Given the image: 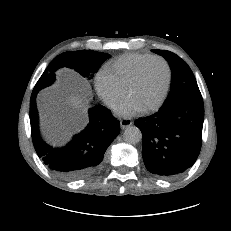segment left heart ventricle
I'll return each instance as SVG.
<instances>
[{"instance_id": "obj_1", "label": "left heart ventricle", "mask_w": 231, "mask_h": 231, "mask_svg": "<svg viewBox=\"0 0 231 231\" xmlns=\"http://www.w3.org/2000/svg\"><path fill=\"white\" fill-rule=\"evenodd\" d=\"M166 77L165 65L159 60L150 61L143 69L139 81L131 89L128 97L134 99L144 109L147 108L160 97Z\"/></svg>"}]
</instances>
